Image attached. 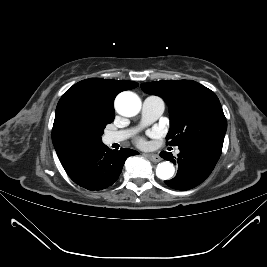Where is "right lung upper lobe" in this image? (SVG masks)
I'll use <instances>...</instances> for the list:
<instances>
[{
  "mask_svg": "<svg viewBox=\"0 0 267 267\" xmlns=\"http://www.w3.org/2000/svg\"><path fill=\"white\" fill-rule=\"evenodd\" d=\"M137 86L138 83L132 81L90 78L69 88L58 102L52 129V141L59 159L76 150L64 141L60 133V118L68 106L79 101H86L101 112L115 114L113 102L116 95Z\"/></svg>",
  "mask_w": 267,
  "mask_h": 267,
  "instance_id": "cb5924a9",
  "label": "right lung upper lobe"
}]
</instances>
